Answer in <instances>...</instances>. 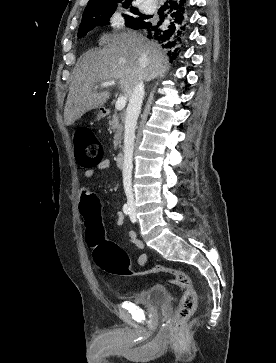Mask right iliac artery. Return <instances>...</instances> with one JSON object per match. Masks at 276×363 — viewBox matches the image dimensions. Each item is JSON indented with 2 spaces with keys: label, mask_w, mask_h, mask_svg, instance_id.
<instances>
[{
  "label": "right iliac artery",
  "mask_w": 276,
  "mask_h": 363,
  "mask_svg": "<svg viewBox=\"0 0 276 363\" xmlns=\"http://www.w3.org/2000/svg\"><path fill=\"white\" fill-rule=\"evenodd\" d=\"M130 211H131V208H130L129 204H124V206H123V212L126 215H128V214H130Z\"/></svg>",
  "instance_id": "obj_1"
}]
</instances>
